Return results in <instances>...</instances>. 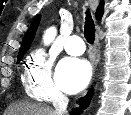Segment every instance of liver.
I'll return each mask as SVG.
<instances>
[{
    "label": "liver",
    "instance_id": "6515ba94",
    "mask_svg": "<svg viewBox=\"0 0 131 115\" xmlns=\"http://www.w3.org/2000/svg\"><path fill=\"white\" fill-rule=\"evenodd\" d=\"M5 115H56L55 111L41 104L17 103L8 107Z\"/></svg>",
    "mask_w": 131,
    "mask_h": 115
}]
</instances>
